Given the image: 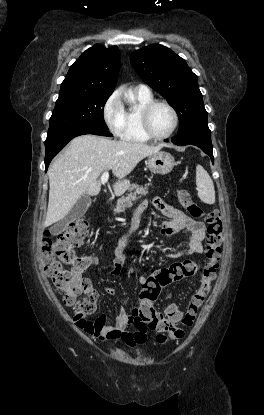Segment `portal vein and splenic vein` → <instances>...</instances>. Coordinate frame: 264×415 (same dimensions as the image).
<instances>
[{
    "instance_id": "obj_1",
    "label": "portal vein and splenic vein",
    "mask_w": 264,
    "mask_h": 415,
    "mask_svg": "<svg viewBox=\"0 0 264 415\" xmlns=\"http://www.w3.org/2000/svg\"><path fill=\"white\" fill-rule=\"evenodd\" d=\"M109 173L108 171L104 172L101 176L100 183L105 184L108 181Z\"/></svg>"
}]
</instances>
